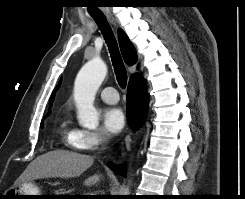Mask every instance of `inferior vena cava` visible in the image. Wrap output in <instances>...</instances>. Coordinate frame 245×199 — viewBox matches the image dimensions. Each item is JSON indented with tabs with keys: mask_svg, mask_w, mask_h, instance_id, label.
<instances>
[{
	"mask_svg": "<svg viewBox=\"0 0 245 199\" xmlns=\"http://www.w3.org/2000/svg\"><path fill=\"white\" fill-rule=\"evenodd\" d=\"M109 137V134L107 132L104 133L103 141H106V139Z\"/></svg>",
	"mask_w": 245,
	"mask_h": 199,
	"instance_id": "1",
	"label": "inferior vena cava"
}]
</instances>
